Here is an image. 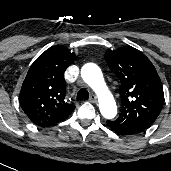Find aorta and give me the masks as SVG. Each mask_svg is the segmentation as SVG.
<instances>
[{
  "mask_svg": "<svg viewBox=\"0 0 171 171\" xmlns=\"http://www.w3.org/2000/svg\"><path fill=\"white\" fill-rule=\"evenodd\" d=\"M81 76L86 84L96 93L98 106L105 118H113L117 113V106L110 92L100 68L93 64H85L81 69Z\"/></svg>",
  "mask_w": 171,
  "mask_h": 171,
  "instance_id": "aorta-1",
  "label": "aorta"
}]
</instances>
